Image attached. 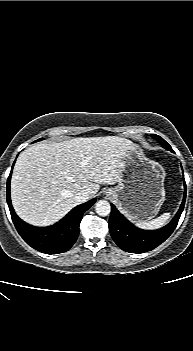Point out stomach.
I'll list each match as a JSON object with an SVG mask.
<instances>
[{
	"label": "stomach",
	"instance_id": "0dacf381",
	"mask_svg": "<svg viewBox=\"0 0 193 351\" xmlns=\"http://www.w3.org/2000/svg\"><path fill=\"white\" fill-rule=\"evenodd\" d=\"M120 180L105 193L131 220L143 222L154 218L165 200V170L147 158L134 143L123 159Z\"/></svg>",
	"mask_w": 193,
	"mask_h": 351
}]
</instances>
